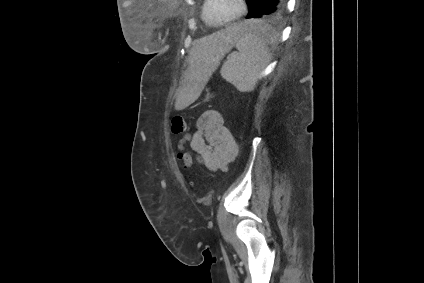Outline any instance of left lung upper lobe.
<instances>
[{
	"label": "left lung upper lobe",
	"instance_id": "1",
	"mask_svg": "<svg viewBox=\"0 0 424 283\" xmlns=\"http://www.w3.org/2000/svg\"><path fill=\"white\" fill-rule=\"evenodd\" d=\"M247 4L249 5V13H248L247 16L250 17L256 11L258 0H247ZM283 9L284 8L282 7L278 11H276L275 13H273V14H271L269 16L261 17V18H263V19H265V18H274V17L278 16L283 11Z\"/></svg>",
	"mask_w": 424,
	"mask_h": 283
}]
</instances>
